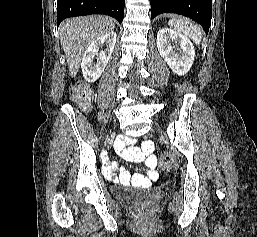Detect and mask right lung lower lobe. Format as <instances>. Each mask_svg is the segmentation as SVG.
<instances>
[{"label":"right lung lower lobe","mask_w":257,"mask_h":237,"mask_svg":"<svg viewBox=\"0 0 257 237\" xmlns=\"http://www.w3.org/2000/svg\"><path fill=\"white\" fill-rule=\"evenodd\" d=\"M125 0H58L57 26L66 18L104 14L122 23Z\"/></svg>","instance_id":"98d812e1"}]
</instances>
